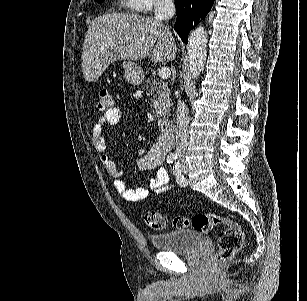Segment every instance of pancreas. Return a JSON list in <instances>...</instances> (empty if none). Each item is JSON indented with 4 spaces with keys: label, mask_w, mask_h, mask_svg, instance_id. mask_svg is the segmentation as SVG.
Segmentation results:
<instances>
[{
    "label": "pancreas",
    "mask_w": 307,
    "mask_h": 301,
    "mask_svg": "<svg viewBox=\"0 0 307 301\" xmlns=\"http://www.w3.org/2000/svg\"><path fill=\"white\" fill-rule=\"evenodd\" d=\"M144 88H147L148 94H152L153 102V116H163V114H169L170 106H172V98H170V90L167 86V82L163 80H157V78H148L146 84H143Z\"/></svg>",
    "instance_id": "obj_1"
}]
</instances>
